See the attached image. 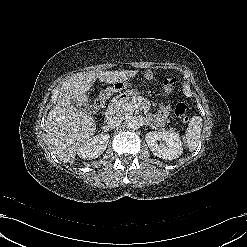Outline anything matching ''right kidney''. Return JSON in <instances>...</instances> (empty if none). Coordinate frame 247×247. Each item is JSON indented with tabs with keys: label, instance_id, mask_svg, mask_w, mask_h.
Returning <instances> with one entry per match:
<instances>
[{
	"label": "right kidney",
	"instance_id": "1",
	"mask_svg": "<svg viewBox=\"0 0 247 247\" xmlns=\"http://www.w3.org/2000/svg\"><path fill=\"white\" fill-rule=\"evenodd\" d=\"M109 134H99L89 138L85 143L77 148V154L84 160L98 158L107 148Z\"/></svg>",
	"mask_w": 247,
	"mask_h": 247
}]
</instances>
